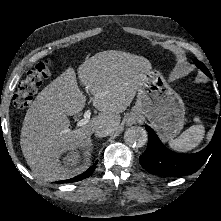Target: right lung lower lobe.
<instances>
[{"instance_id": "98d812e1", "label": "right lung lower lobe", "mask_w": 221, "mask_h": 221, "mask_svg": "<svg viewBox=\"0 0 221 221\" xmlns=\"http://www.w3.org/2000/svg\"><path fill=\"white\" fill-rule=\"evenodd\" d=\"M95 167H96V163L93 164V166H91L87 171H85L84 173H82L81 175L79 176H76L72 179H69V180H65V181H58V183H64V182H76V181H80L82 179H85L87 177H89L93 171L95 170Z\"/></svg>"}]
</instances>
